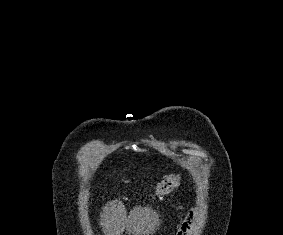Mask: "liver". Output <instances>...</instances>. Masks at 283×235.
Returning a JSON list of instances; mask_svg holds the SVG:
<instances>
[{
	"instance_id": "obj_1",
	"label": "liver",
	"mask_w": 283,
	"mask_h": 235,
	"mask_svg": "<svg viewBox=\"0 0 283 235\" xmlns=\"http://www.w3.org/2000/svg\"><path fill=\"white\" fill-rule=\"evenodd\" d=\"M100 217L105 235H121L125 230L133 235H149L160 224L159 214L151 208L135 206L127 216L126 208L119 200L107 203Z\"/></svg>"
}]
</instances>
